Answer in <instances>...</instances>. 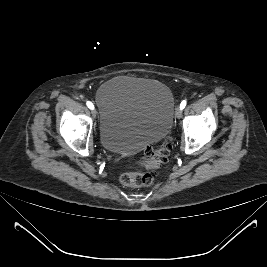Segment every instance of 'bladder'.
I'll use <instances>...</instances> for the list:
<instances>
[{"label": "bladder", "mask_w": 267, "mask_h": 267, "mask_svg": "<svg viewBox=\"0 0 267 267\" xmlns=\"http://www.w3.org/2000/svg\"><path fill=\"white\" fill-rule=\"evenodd\" d=\"M99 133L103 147L114 153H133L162 140L173 123L174 98L161 82L118 76L96 94Z\"/></svg>", "instance_id": "bladder-1"}]
</instances>
